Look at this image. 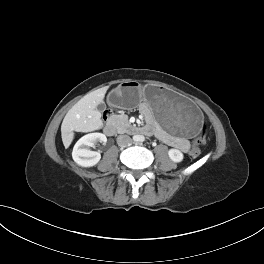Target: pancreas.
<instances>
[{
    "instance_id": "cf45deb5",
    "label": "pancreas",
    "mask_w": 264,
    "mask_h": 264,
    "mask_svg": "<svg viewBox=\"0 0 264 264\" xmlns=\"http://www.w3.org/2000/svg\"><path fill=\"white\" fill-rule=\"evenodd\" d=\"M112 120L121 130L126 129L129 126L128 117L126 115H113Z\"/></svg>"
}]
</instances>
